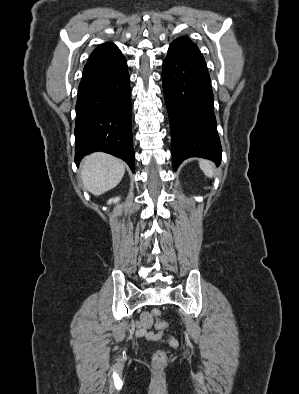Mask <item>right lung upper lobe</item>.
Returning <instances> with one entry per match:
<instances>
[{"instance_id":"obj_1","label":"right lung upper lobe","mask_w":299,"mask_h":394,"mask_svg":"<svg viewBox=\"0 0 299 394\" xmlns=\"http://www.w3.org/2000/svg\"><path fill=\"white\" fill-rule=\"evenodd\" d=\"M121 55L120 50L113 43H105L97 47L90 55L88 62Z\"/></svg>"}]
</instances>
